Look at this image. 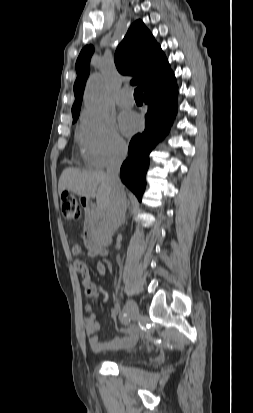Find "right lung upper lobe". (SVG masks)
Here are the masks:
<instances>
[{
    "label": "right lung upper lobe",
    "mask_w": 253,
    "mask_h": 413,
    "mask_svg": "<svg viewBox=\"0 0 253 413\" xmlns=\"http://www.w3.org/2000/svg\"><path fill=\"white\" fill-rule=\"evenodd\" d=\"M92 46H85L76 61L77 78L74 83L75 102L73 119L78 118L86 80L90 72ZM115 64L123 75H133L131 84H139L145 90L156 82L175 81L170 65L152 34L142 21L134 22L115 53Z\"/></svg>",
    "instance_id": "1"
}]
</instances>
